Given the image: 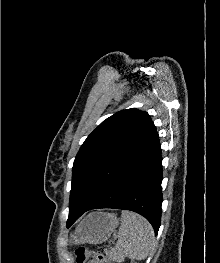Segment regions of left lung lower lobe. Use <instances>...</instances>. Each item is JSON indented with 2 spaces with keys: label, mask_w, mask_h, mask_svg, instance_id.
I'll return each mask as SVG.
<instances>
[{
  "label": "left lung lower lobe",
  "mask_w": 220,
  "mask_h": 263,
  "mask_svg": "<svg viewBox=\"0 0 220 263\" xmlns=\"http://www.w3.org/2000/svg\"><path fill=\"white\" fill-rule=\"evenodd\" d=\"M161 182V146L157 137L88 208L69 211L67 228L88 210L114 208L144 216L157 235L161 220Z\"/></svg>",
  "instance_id": "obj_1"
}]
</instances>
